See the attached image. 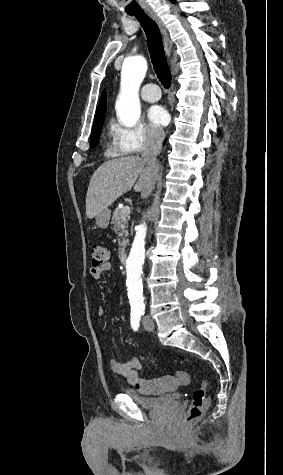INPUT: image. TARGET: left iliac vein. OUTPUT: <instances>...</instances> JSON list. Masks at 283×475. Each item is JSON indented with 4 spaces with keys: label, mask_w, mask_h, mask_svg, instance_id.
I'll return each instance as SVG.
<instances>
[{
    "label": "left iliac vein",
    "mask_w": 283,
    "mask_h": 475,
    "mask_svg": "<svg viewBox=\"0 0 283 475\" xmlns=\"http://www.w3.org/2000/svg\"><path fill=\"white\" fill-rule=\"evenodd\" d=\"M143 326L146 330H149V331H152L155 328L154 321L149 316L144 317Z\"/></svg>",
    "instance_id": "obj_1"
}]
</instances>
